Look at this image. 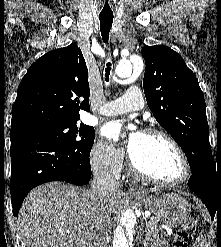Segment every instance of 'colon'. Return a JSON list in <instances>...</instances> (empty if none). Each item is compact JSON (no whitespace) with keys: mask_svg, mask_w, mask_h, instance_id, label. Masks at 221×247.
Segmentation results:
<instances>
[{"mask_svg":"<svg viewBox=\"0 0 221 247\" xmlns=\"http://www.w3.org/2000/svg\"><path fill=\"white\" fill-rule=\"evenodd\" d=\"M195 224L196 221L194 219H190L186 222L185 228L177 232L173 247H188V230L193 229L195 227Z\"/></svg>","mask_w":221,"mask_h":247,"instance_id":"colon-1","label":"colon"}]
</instances>
